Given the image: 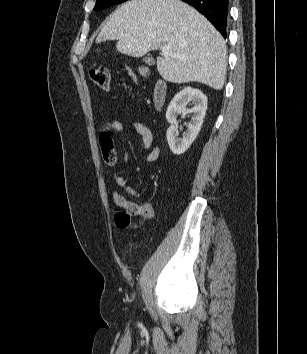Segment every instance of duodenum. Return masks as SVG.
<instances>
[{
    "label": "duodenum",
    "instance_id": "duodenum-1",
    "mask_svg": "<svg viewBox=\"0 0 307 354\" xmlns=\"http://www.w3.org/2000/svg\"><path fill=\"white\" fill-rule=\"evenodd\" d=\"M166 85L164 82L160 81L156 84L153 95V102L156 108L162 106L166 98Z\"/></svg>",
    "mask_w": 307,
    "mask_h": 354
}]
</instances>
